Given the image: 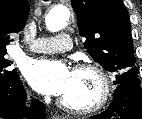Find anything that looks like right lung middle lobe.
Masks as SVG:
<instances>
[{
    "mask_svg": "<svg viewBox=\"0 0 142 119\" xmlns=\"http://www.w3.org/2000/svg\"><path fill=\"white\" fill-rule=\"evenodd\" d=\"M7 50L0 51V85H7L19 77L16 69H9L11 61L6 59Z\"/></svg>",
    "mask_w": 142,
    "mask_h": 119,
    "instance_id": "obj_1",
    "label": "right lung middle lobe"
}]
</instances>
